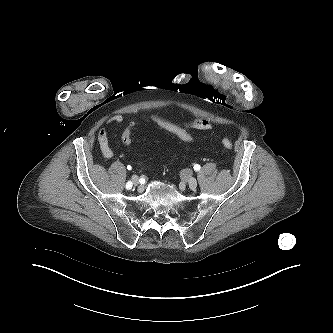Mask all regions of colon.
Listing matches in <instances>:
<instances>
[{
    "mask_svg": "<svg viewBox=\"0 0 333 333\" xmlns=\"http://www.w3.org/2000/svg\"><path fill=\"white\" fill-rule=\"evenodd\" d=\"M142 122H152V123L158 125L159 127L167 130L168 132L176 135L178 138H180L184 142L190 143V142L194 141V137L191 134H189L181 126L174 124V123L164 119L161 116L151 114V115H145V116H141V117L132 119L127 123V125L124 128L122 135H121L122 142L125 145L131 144L132 138H133V131L136 128V126ZM222 144L225 148H227L229 150L232 149V143L229 139L224 138L222 140Z\"/></svg>",
    "mask_w": 333,
    "mask_h": 333,
    "instance_id": "colon-1",
    "label": "colon"
}]
</instances>
